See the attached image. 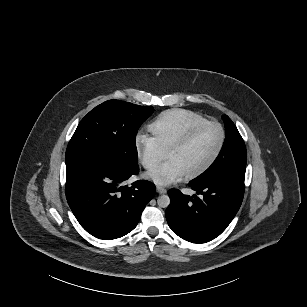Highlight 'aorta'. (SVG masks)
<instances>
[{
	"instance_id": "1",
	"label": "aorta",
	"mask_w": 307,
	"mask_h": 307,
	"mask_svg": "<svg viewBox=\"0 0 307 307\" xmlns=\"http://www.w3.org/2000/svg\"><path fill=\"white\" fill-rule=\"evenodd\" d=\"M157 203L160 207L162 208H166L169 206L170 204V198L167 195H161L158 197L157 199Z\"/></svg>"
}]
</instances>
